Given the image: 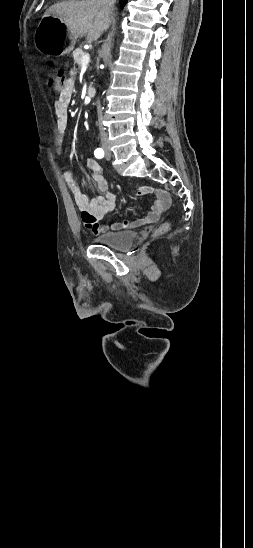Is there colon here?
<instances>
[{
    "label": "colon",
    "mask_w": 253,
    "mask_h": 548,
    "mask_svg": "<svg viewBox=\"0 0 253 548\" xmlns=\"http://www.w3.org/2000/svg\"><path fill=\"white\" fill-rule=\"evenodd\" d=\"M66 82H67V78H66V75L64 73V71L60 68H54L50 74H49V77H48V84L51 88V90L55 93H62L65 89V86H66ZM168 226L167 225H162L158 232L159 233H163L167 230Z\"/></svg>",
    "instance_id": "1"
}]
</instances>
